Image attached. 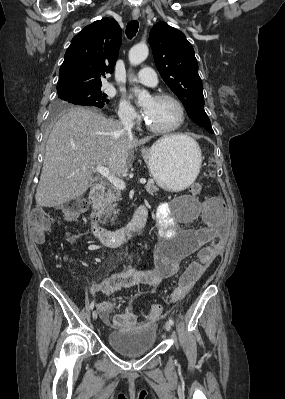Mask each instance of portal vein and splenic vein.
Returning <instances> with one entry per match:
<instances>
[{"mask_svg": "<svg viewBox=\"0 0 285 399\" xmlns=\"http://www.w3.org/2000/svg\"><path fill=\"white\" fill-rule=\"evenodd\" d=\"M95 170H96L99 174H101L102 176H104L105 178H107V179L110 181V183H111L114 187H116V188H118V189H120V190H124V189L126 188L125 182H124L122 179H120V178H118V177L112 175V174L110 173L108 167L99 165V166H96V167H95ZM140 183H141V184H145V183H146V180H145V179H140Z\"/></svg>", "mask_w": 285, "mask_h": 399, "instance_id": "1", "label": "portal vein and splenic vein"}]
</instances>
